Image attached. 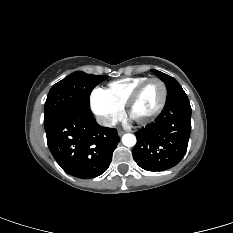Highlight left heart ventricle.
<instances>
[{
    "instance_id": "b2bd125f",
    "label": "left heart ventricle",
    "mask_w": 233,
    "mask_h": 233,
    "mask_svg": "<svg viewBox=\"0 0 233 233\" xmlns=\"http://www.w3.org/2000/svg\"><path fill=\"white\" fill-rule=\"evenodd\" d=\"M162 98V87L158 82H150L142 90L139 98L132 107L131 117L133 119H143L152 114Z\"/></svg>"
}]
</instances>
